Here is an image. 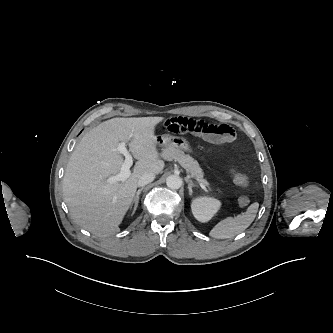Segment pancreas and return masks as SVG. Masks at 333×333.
Segmentation results:
<instances>
[{
  "label": "pancreas",
  "instance_id": "obj_1",
  "mask_svg": "<svg viewBox=\"0 0 333 333\" xmlns=\"http://www.w3.org/2000/svg\"><path fill=\"white\" fill-rule=\"evenodd\" d=\"M162 157L168 161H178L187 173L191 174L194 179L209 188V183L204 179V174L199 163L191 156L184 154L183 151L175 147H168L162 151Z\"/></svg>",
  "mask_w": 333,
  "mask_h": 333
}]
</instances>
